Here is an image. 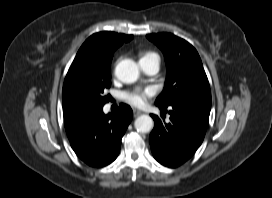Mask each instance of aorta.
<instances>
[{
	"label": "aorta",
	"instance_id": "762f6f07",
	"mask_svg": "<svg viewBox=\"0 0 272 198\" xmlns=\"http://www.w3.org/2000/svg\"><path fill=\"white\" fill-rule=\"evenodd\" d=\"M115 75L124 83H133L139 77V69L133 60L124 59L117 64ZM134 126L138 132L148 133L153 129L154 122L149 115H141L135 120Z\"/></svg>",
	"mask_w": 272,
	"mask_h": 198
}]
</instances>
